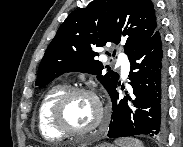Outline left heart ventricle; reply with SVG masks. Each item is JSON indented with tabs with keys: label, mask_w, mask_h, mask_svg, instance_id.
I'll return each instance as SVG.
<instances>
[{
	"label": "left heart ventricle",
	"mask_w": 183,
	"mask_h": 147,
	"mask_svg": "<svg viewBox=\"0 0 183 147\" xmlns=\"http://www.w3.org/2000/svg\"><path fill=\"white\" fill-rule=\"evenodd\" d=\"M97 117V108L94 101L86 95L73 97L66 105L65 118L69 126L76 130L91 126Z\"/></svg>",
	"instance_id": "obj_1"
}]
</instances>
